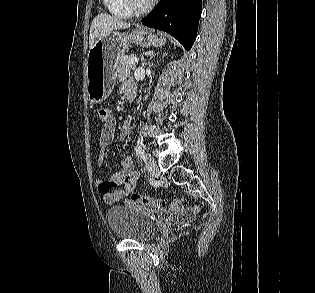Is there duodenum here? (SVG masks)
Here are the masks:
<instances>
[{
    "mask_svg": "<svg viewBox=\"0 0 315 293\" xmlns=\"http://www.w3.org/2000/svg\"><path fill=\"white\" fill-rule=\"evenodd\" d=\"M133 97H134V93H132V94H130V95L128 96V100L131 101V100L133 99Z\"/></svg>",
    "mask_w": 315,
    "mask_h": 293,
    "instance_id": "obj_1",
    "label": "duodenum"
}]
</instances>
